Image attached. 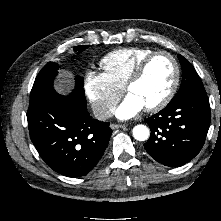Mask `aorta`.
I'll use <instances>...</instances> for the list:
<instances>
[{"instance_id":"762f6f07","label":"aorta","mask_w":221,"mask_h":221,"mask_svg":"<svg viewBox=\"0 0 221 221\" xmlns=\"http://www.w3.org/2000/svg\"><path fill=\"white\" fill-rule=\"evenodd\" d=\"M133 137L138 141H145L150 136V130L143 124L136 125L133 130Z\"/></svg>"}]
</instances>
